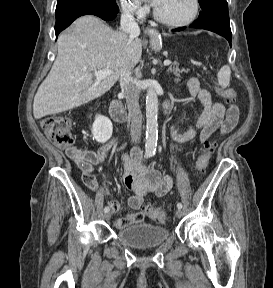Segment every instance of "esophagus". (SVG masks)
<instances>
[{"instance_id": "34e87169", "label": "esophagus", "mask_w": 273, "mask_h": 288, "mask_svg": "<svg viewBox=\"0 0 273 288\" xmlns=\"http://www.w3.org/2000/svg\"><path fill=\"white\" fill-rule=\"evenodd\" d=\"M145 33L153 35V34H157L158 32L156 30H154V29H146Z\"/></svg>"}]
</instances>
